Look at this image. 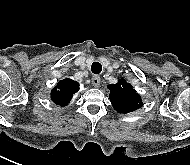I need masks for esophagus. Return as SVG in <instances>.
<instances>
[{
    "instance_id": "esophagus-1",
    "label": "esophagus",
    "mask_w": 190,
    "mask_h": 165,
    "mask_svg": "<svg viewBox=\"0 0 190 165\" xmlns=\"http://www.w3.org/2000/svg\"><path fill=\"white\" fill-rule=\"evenodd\" d=\"M100 82H101V80H100V77L98 75L93 76V78H92V85L94 87H99L100 86Z\"/></svg>"
}]
</instances>
